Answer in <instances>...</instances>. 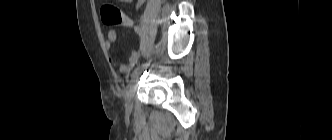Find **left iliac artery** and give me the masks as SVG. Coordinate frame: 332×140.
I'll return each instance as SVG.
<instances>
[{
	"label": "left iliac artery",
	"instance_id": "left-iliac-artery-1",
	"mask_svg": "<svg viewBox=\"0 0 332 140\" xmlns=\"http://www.w3.org/2000/svg\"><path fill=\"white\" fill-rule=\"evenodd\" d=\"M152 59H149V61H147L146 63H143L141 66H138L137 68H135V70L132 73V76H134L135 74H137L138 72H140L141 70L145 69L146 67H148L149 63L151 62Z\"/></svg>",
	"mask_w": 332,
	"mask_h": 140
}]
</instances>
